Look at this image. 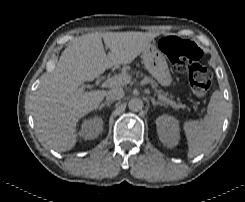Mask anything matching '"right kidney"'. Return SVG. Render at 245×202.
I'll list each match as a JSON object with an SVG mask.
<instances>
[{"label": "right kidney", "mask_w": 245, "mask_h": 202, "mask_svg": "<svg viewBox=\"0 0 245 202\" xmlns=\"http://www.w3.org/2000/svg\"><path fill=\"white\" fill-rule=\"evenodd\" d=\"M103 130V120L101 117H93L83 121L79 136L85 140L97 138Z\"/></svg>", "instance_id": "1"}]
</instances>
